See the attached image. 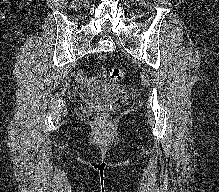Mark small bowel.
Returning <instances> with one entry per match:
<instances>
[{
  "instance_id": "small-bowel-1",
  "label": "small bowel",
  "mask_w": 219,
  "mask_h": 192,
  "mask_svg": "<svg viewBox=\"0 0 219 192\" xmlns=\"http://www.w3.org/2000/svg\"><path fill=\"white\" fill-rule=\"evenodd\" d=\"M101 77H102V75H99V76L97 77V79H100ZM79 79L82 80V81L86 80L85 76H84L82 73H80Z\"/></svg>"
}]
</instances>
